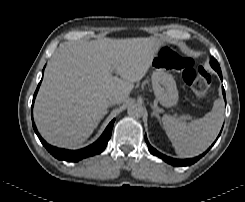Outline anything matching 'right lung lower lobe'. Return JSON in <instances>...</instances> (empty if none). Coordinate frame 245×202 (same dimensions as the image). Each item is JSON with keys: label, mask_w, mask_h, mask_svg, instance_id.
<instances>
[{"label": "right lung lower lobe", "mask_w": 245, "mask_h": 202, "mask_svg": "<svg viewBox=\"0 0 245 202\" xmlns=\"http://www.w3.org/2000/svg\"><path fill=\"white\" fill-rule=\"evenodd\" d=\"M40 86V83L35 91L34 97H33V103H32V107L34 104V100L38 91V88ZM33 120V118H32ZM114 120H112L109 125L107 126V128L105 129V131L103 132V134L101 135V137L93 144H91L90 146L80 149V150H66V149H60L54 146H51L49 144H47L42 137L40 136V134L38 133L34 122H32L33 124V128L35 133L37 134L38 138L40 139L41 143L45 146V148L57 159L59 160H66L69 162H77L83 158L95 155V154H99L101 153L107 146V143L111 137V132H112V128H113V124H114Z\"/></svg>", "instance_id": "right-lung-lower-lobe-1"}]
</instances>
